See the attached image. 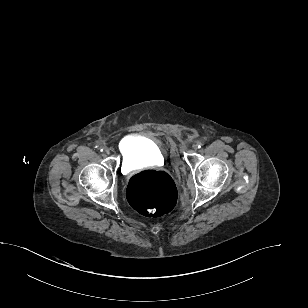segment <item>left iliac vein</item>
Segmentation results:
<instances>
[{
	"instance_id": "4c4485c4",
	"label": "left iliac vein",
	"mask_w": 308,
	"mask_h": 308,
	"mask_svg": "<svg viewBox=\"0 0 308 308\" xmlns=\"http://www.w3.org/2000/svg\"><path fill=\"white\" fill-rule=\"evenodd\" d=\"M192 147L194 150H197V143L193 144Z\"/></svg>"
}]
</instances>
